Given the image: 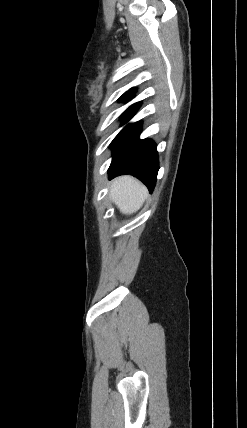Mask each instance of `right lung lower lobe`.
<instances>
[{"instance_id":"98d812e1","label":"right lung lower lobe","mask_w":247,"mask_h":428,"mask_svg":"<svg viewBox=\"0 0 247 428\" xmlns=\"http://www.w3.org/2000/svg\"><path fill=\"white\" fill-rule=\"evenodd\" d=\"M140 102L130 106L123 114L128 121L140 107ZM141 123L126 126L113 140L112 163L108 169L109 179L131 174L153 191L159 169L156 144L150 139H139Z\"/></svg>"}]
</instances>
